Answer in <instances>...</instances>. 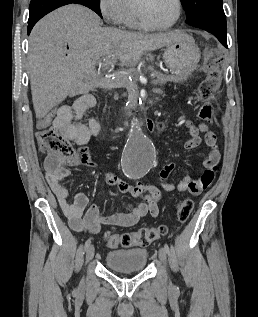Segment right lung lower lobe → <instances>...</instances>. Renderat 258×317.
I'll return each mask as SVG.
<instances>
[{
	"label": "right lung lower lobe",
	"mask_w": 258,
	"mask_h": 317,
	"mask_svg": "<svg viewBox=\"0 0 258 317\" xmlns=\"http://www.w3.org/2000/svg\"><path fill=\"white\" fill-rule=\"evenodd\" d=\"M71 3L84 5L102 17L100 4H98L95 0H31L29 6L30 15L28 20V35L30 34L36 22L43 16L58 7Z\"/></svg>",
	"instance_id": "obj_1"
}]
</instances>
